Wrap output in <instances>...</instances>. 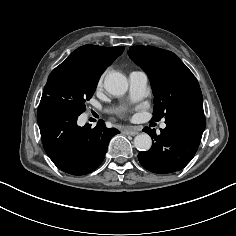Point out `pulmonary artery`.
<instances>
[{"mask_svg":"<svg viewBox=\"0 0 236 236\" xmlns=\"http://www.w3.org/2000/svg\"><path fill=\"white\" fill-rule=\"evenodd\" d=\"M148 84V76L144 71L136 70L129 74L130 95L133 100H139L146 94ZM164 129L166 127L165 121L160 124Z\"/></svg>","mask_w":236,"mask_h":236,"instance_id":"obj_1","label":"pulmonary artery"}]
</instances>
